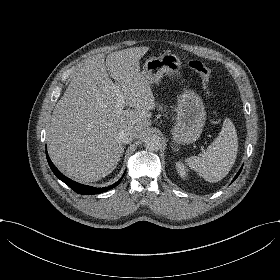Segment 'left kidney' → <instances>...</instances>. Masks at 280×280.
<instances>
[{"mask_svg":"<svg viewBox=\"0 0 280 280\" xmlns=\"http://www.w3.org/2000/svg\"><path fill=\"white\" fill-rule=\"evenodd\" d=\"M175 168H176L178 174L180 175V177L182 179H186V177H187V169H186L185 165L181 161L176 162Z\"/></svg>","mask_w":280,"mask_h":280,"instance_id":"left-kidney-1","label":"left kidney"}]
</instances>
